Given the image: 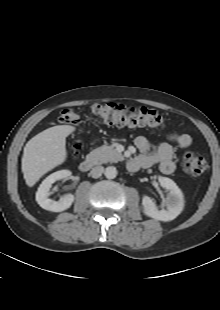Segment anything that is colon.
Listing matches in <instances>:
<instances>
[{
	"mask_svg": "<svg viewBox=\"0 0 220 310\" xmlns=\"http://www.w3.org/2000/svg\"><path fill=\"white\" fill-rule=\"evenodd\" d=\"M93 112L105 123L115 126L161 128L165 125L164 117L157 111L144 107H128L116 103L96 104ZM59 121L65 125L78 126L80 117L72 108L63 109ZM80 146H73V155L79 156ZM184 168L192 175H202L209 169L208 161L193 152L184 156Z\"/></svg>",
	"mask_w": 220,
	"mask_h": 310,
	"instance_id": "1",
	"label": "colon"
}]
</instances>
